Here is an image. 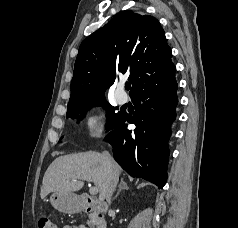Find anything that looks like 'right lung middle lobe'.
Here are the masks:
<instances>
[{
  "mask_svg": "<svg viewBox=\"0 0 238 228\" xmlns=\"http://www.w3.org/2000/svg\"><path fill=\"white\" fill-rule=\"evenodd\" d=\"M94 105H103L107 107V117H108V123H107V129H111L115 122L120 117L121 113H115V107L111 106L107 103V101H100L89 105H68L67 109V117L71 118H83L85 112Z\"/></svg>",
  "mask_w": 238,
  "mask_h": 228,
  "instance_id": "1",
  "label": "right lung middle lobe"
}]
</instances>
